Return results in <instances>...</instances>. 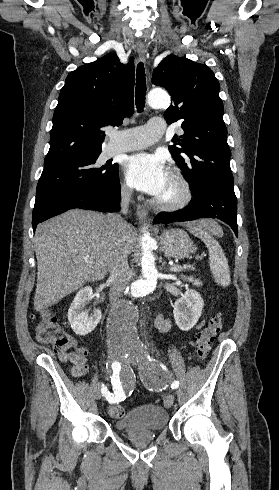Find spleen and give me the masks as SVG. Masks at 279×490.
Segmentation results:
<instances>
[{
  "label": "spleen",
  "mask_w": 279,
  "mask_h": 490,
  "mask_svg": "<svg viewBox=\"0 0 279 490\" xmlns=\"http://www.w3.org/2000/svg\"><path fill=\"white\" fill-rule=\"evenodd\" d=\"M191 234L200 238L209 250V266L216 284L227 288L230 284V270L225 254L218 242L212 236L222 238L223 230L214 220H199L190 228Z\"/></svg>",
  "instance_id": "obj_1"
}]
</instances>
